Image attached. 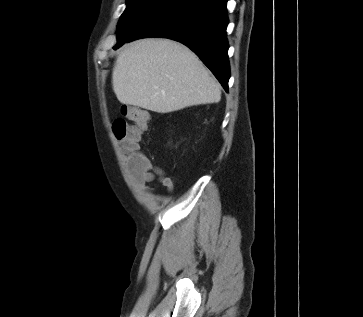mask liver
<instances>
[{
    "mask_svg": "<svg viewBox=\"0 0 363 317\" xmlns=\"http://www.w3.org/2000/svg\"><path fill=\"white\" fill-rule=\"evenodd\" d=\"M117 99L158 113L218 103L220 85L186 46L168 39H142L118 54L112 73Z\"/></svg>",
    "mask_w": 363,
    "mask_h": 317,
    "instance_id": "6515ba94",
    "label": "liver"
}]
</instances>
